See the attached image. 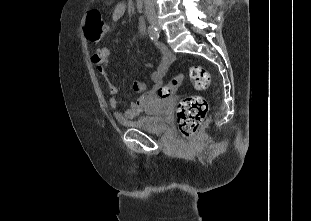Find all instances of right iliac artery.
Returning <instances> with one entry per match:
<instances>
[{
    "label": "right iliac artery",
    "instance_id": "82829eb1",
    "mask_svg": "<svg viewBox=\"0 0 311 221\" xmlns=\"http://www.w3.org/2000/svg\"><path fill=\"white\" fill-rule=\"evenodd\" d=\"M148 34H149L150 38L154 41H157L159 38V32H158L157 28L154 27L153 25H150L148 27Z\"/></svg>",
    "mask_w": 311,
    "mask_h": 221
}]
</instances>
